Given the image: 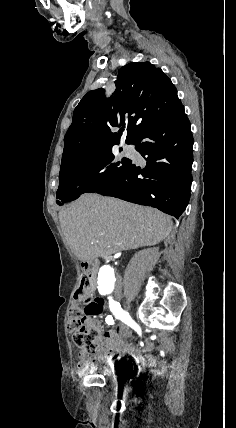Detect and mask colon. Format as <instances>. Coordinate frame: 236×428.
<instances>
[{
	"instance_id": "obj_1",
	"label": "colon",
	"mask_w": 236,
	"mask_h": 428,
	"mask_svg": "<svg viewBox=\"0 0 236 428\" xmlns=\"http://www.w3.org/2000/svg\"><path fill=\"white\" fill-rule=\"evenodd\" d=\"M104 310V302L93 298L89 280L83 276L77 286L66 319V329L72 333L76 347L88 353L96 352L102 344L99 323L94 319Z\"/></svg>"
}]
</instances>
